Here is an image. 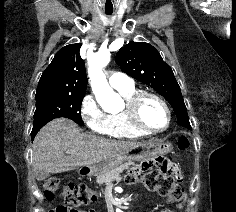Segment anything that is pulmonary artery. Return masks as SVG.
Returning <instances> with one entry per match:
<instances>
[{
	"label": "pulmonary artery",
	"mask_w": 236,
	"mask_h": 212,
	"mask_svg": "<svg viewBox=\"0 0 236 212\" xmlns=\"http://www.w3.org/2000/svg\"><path fill=\"white\" fill-rule=\"evenodd\" d=\"M109 84L115 89L126 88L133 84L129 76L121 72H113L109 76Z\"/></svg>",
	"instance_id": "1"
}]
</instances>
